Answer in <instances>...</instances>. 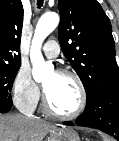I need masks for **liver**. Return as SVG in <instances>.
Masks as SVG:
<instances>
[{
  "label": "liver",
  "instance_id": "liver-1",
  "mask_svg": "<svg viewBox=\"0 0 119 141\" xmlns=\"http://www.w3.org/2000/svg\"><path fill=\"white\" fill-rule=\"evenodd\" d=\"M56 126L22 115H0V141H42Z\"/></svg>",
  "mask_w": 119,
  "mask_h": 141
}]
</instances>
